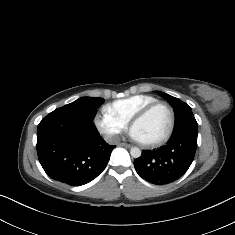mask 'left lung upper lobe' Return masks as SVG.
Instances as JSON below:
<instances>
[{
	"label": "left lung upper lobe",
	"instance_id": "5c2ea615",
	"mask_svg": "<svg viewBox=\"0 0 235 235\" xmlns=\"http://www.w3.org/2000/svg\"><path fill=\"white\" fill-rule=\"evenodd\" d=\"M158 93L171 104L175 111L176 120L172 137L182 134L197 136L198 124L191 107L178 98L160 91Z\"/></svg>",
	"mask_w": 235,
	"mask_h": 235
}]
</instances>
